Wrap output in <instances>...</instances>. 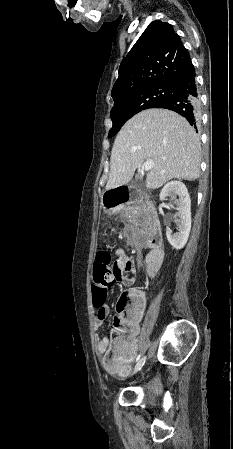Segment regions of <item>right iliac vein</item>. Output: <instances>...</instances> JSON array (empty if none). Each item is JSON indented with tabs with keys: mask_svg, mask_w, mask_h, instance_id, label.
Returning a JSON list of instances; mask_svg holds the SVG:
<instances>
[{
	"mask_svg": "<svg viewBox=\"0 0 233 449\" xmlns=\"http://www.w3.org/2000/svg\"><path fill=\"white\" fill-rule=\"evenodd\" d=\"M146 359L143 357L135 366L134 370L132 371V374H135L137 371H139L142 366L144 365Z\"/></svg>",
	"mask_w": 233,
	"mask_h": 449,
	"instance_id": "1",
	"label": "right iliac vein"
}]
</instances>
